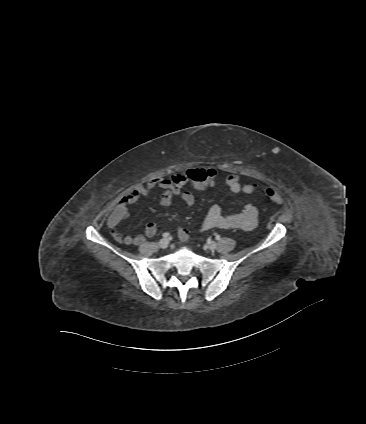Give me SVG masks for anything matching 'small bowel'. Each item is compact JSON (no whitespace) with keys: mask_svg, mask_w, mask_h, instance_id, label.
<instances>
[{"mask_svg":"<svg viewBox=\"0 0 366 424\" xmlns=\"http://www.w3.org/2000/svg\"><path fill=\"white\" fill-rule=\"evenodd\" d=\"M213 176L201 187L197 189H204L209 186H213L217 179L218 174L215 170H210ZM189 180L186 178L185 173L176 174L171 178L157 177L146 183H140L131 188L122 198L120 204L110 214L107 225L111 229L113 238L119 242L127 245H138L145 240V237H152L157 232V226L154 222H149L144 228V234L136 235H122L118 226L127 217V204L136 202L140 197L147 195L152 189L160 188L163 190L159 196V204L162 206H169L173 198L179 196L182 201L191 206L195 203L194 194L183 189L184 185ZM225 184L233 194H239L244 192V185L241 184L240 179L237 175H229L225 179ZM258 210L256 206L247 202L244 204L241 212L231 215L223 214L222 208L219 205H213L204 217L200 229L209 230L213 228L220 229H241L245 231L253 230L257 225ZM178 238L180 244L188 240V231L184 228L178 229Z\"/></svg>","mask_w":366,"mask_h":424,"instance_id":"obj_1","label":"small bowel"}]
</instances>
